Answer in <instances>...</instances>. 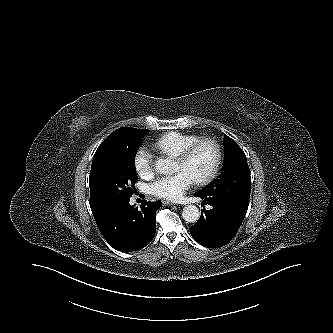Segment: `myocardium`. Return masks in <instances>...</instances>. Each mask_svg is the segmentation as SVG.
<instances>
[{
  "label": "myocardium",
  "mask_w": 333,
  "mask_h": 333,
  "mask_svg": "<svg viewBox=\"0 0 333 333\" xmlns=\"http://www.w3.org/2000/svg\"><path fill=\"white\" fill-rule=\"evenodd\" d=\"M205 143H208L213 146V148L215 150V162L213 164L211 171L208 173L207 176H205L204 178L195 180V183L197 185H207V184L211 183L217 177V175L220 171L221 165H222V161H223V152H222V148H221V145L219 144V142L210 137L199 138L197 141H195L194 143L189 145L182 152V154L176 158L177 161L182 162V163L189 161L192 158V156L194 155V153L196 152V150L202 144H205Z\"/></svg>",
  "instance_id": "obj_1"
}]
</instances>
